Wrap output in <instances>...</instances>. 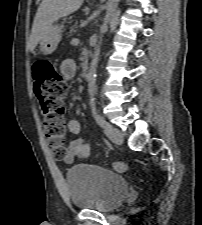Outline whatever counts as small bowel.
<instances>
[{"label":"small bowel","mask_w":202,"mask_h":225,"mask_svg":"<svg viewBox=\"0 0 202 225\" xmlns=\"http://www.w3.org/2000/svg\"><path fill=\"white\" fill-rule=\"evenodd\" d=\"M86 54V53H84ZM60 71L65 79L71 80L75 77L77 71V64L73 58L65 59L60 65ZM68 132L78 135L81 131L80 121L77 118L67 119ZM90 155L89 143L79 137L72 140L68 147L65 156L61 157V161L66 165L73 164L76 160L86 159Z\"/></svg>","instance_id":"obj_1"}]
</instances>
